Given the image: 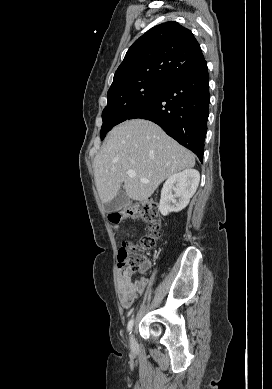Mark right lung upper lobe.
Wrapping results in <instances>:
<instances>
[{
	"label": "right lung upper lobe",
	"mask_w": 272,
	"mask_h": 389,
	"mask_svg": "<svg viewBox=\"0 0 272 389\" xmlns=\"http://www.w3.org/2000/svg\"><path fill=\"white\" fill-rule=\"evenodd\" d=\"M202 61L200 45L189 29L174 21L162 23L132 44L109 90L143 80L167 83Z\"/></svg>",
	"instance_id": "obj_1"
}]
</instances>
